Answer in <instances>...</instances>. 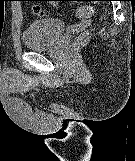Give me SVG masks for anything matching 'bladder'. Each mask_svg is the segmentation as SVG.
Segmentation results:
<instances>
[{
  "mask_svg": "<svg viewBox=\"0 0 135 161\" xmlns=\"http://www.w3.org/2000/svg\"><path fill=\"white\" fill-rule=\"evenodd\" d=\"M65 31V24L55 18L32 21L23 33L26 49L39 51L54 47Z\"/></svg>",
  "mask_w": 135,
  "mask_h": 161,
  "instance_id": "31cf9c89",
  "label": "bladder"
}]
</instances>
